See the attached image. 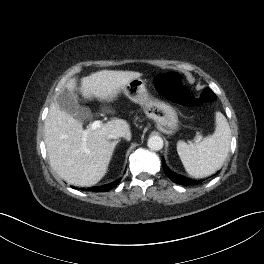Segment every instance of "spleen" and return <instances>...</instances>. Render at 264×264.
Here are the masks:
<instances>
[{
    "instance_id": "3e777b00",
    "label": "spleen",
    "mask_w": 264,
    "mask_h": 264,
    "mask_svg": "<svg viewBox=\"0 0 264 264\" xmlns=\"http://www.w3.org/2000/svg\"><path fill=\"white\" fill-rule=\"evenodd\" d=\"M216 128L213 135L199 143L177 142V152L186 172L197 178L209 176L224 164L231 142L230 126L221 112H216Z\"/></svg>"
}]
</instances>
